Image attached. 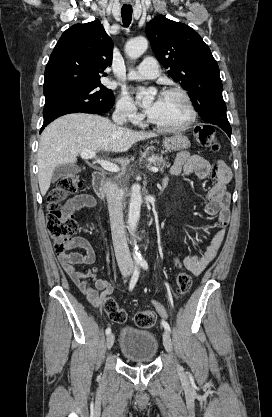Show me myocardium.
<instances>
[{
    "label": "myocardium",
    "instance_id": "myocardium-1",
    "mask_svg": "<svg viewBox=\"0 0 272 417\" xmlns=\"http://www.w3.org/2000/svg\"><path fill=\"white\" fill-rule=\"evenodd\" d=\"M163 95H177L183 99L188 109L187 120L184 123L176 126H164L154 122L151 118L149 119V122L159 131L166 133H177L189 129L193 125L197 117L196 107L191 96L184 89L177 87L165 90L163 92Z\"/></svg>",
    "mask_w": 272,
    "mask_h": 417
}]
</instances>
